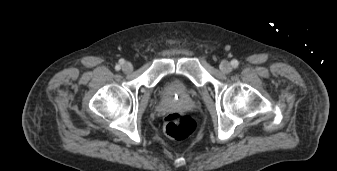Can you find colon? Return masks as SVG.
Returning <instances> with one entry per match:
<instances>
[{"instance_id":"colon-1","label":"colon","mask_w":337,"mask_h":171,"mask_svg":"<svg viewBox=\"0 0 337 171\" xmlns=\"http://www.w3.org/2000/svg\"><path fill=\"white\" fill-rule=\"evenodd\" d=\"M196 128V121L187 114L170 113L163 119L164 132L175 140L188 138L196 131Z\"/></svg>"}]
</instances>
